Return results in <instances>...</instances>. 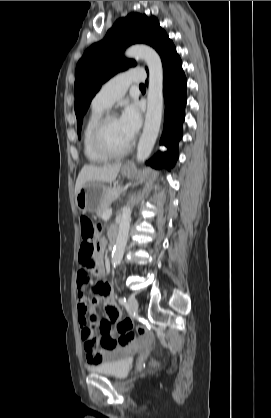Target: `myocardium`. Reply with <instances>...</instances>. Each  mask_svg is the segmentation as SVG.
I'll return each instance as SVG.
<instances>
[{"label":"myocardium","mask_w":271,"mask_h":418,"mask_svg":"<svg viewBox=\"0 0 271 418\" xmlns=\"http://www.w3.org/2000/svg\"><path fill=\"white\" fill-rule=\"evenodd\" d=\"M117 118L113 112L105 113L96 123L92 132V143L94 148L102 155L108 158H117L126 155L132 148V143L129 142L124 148L120 150L112 149L105 140V131L108 123Z\"/></svg>","instance_id":"f54148a6"}]
</instances>
